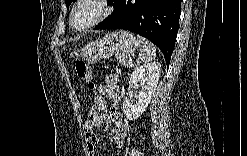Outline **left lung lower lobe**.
I'll use <instances>...</instances> for the list:
<instances>
[{"instance_id":"1","label":"left lung lower lobe","mask_w":247,"mask_h":156,"mask_svg":"<svg viewBox=\"0 0 247 156\" xmlns=\"http://www.w3.org/2000/svg\"><path fill=\"white\" fill-rule=\"evenodd\" d=\"M181 14V0H118L112 14L95 29H125L160 48L169 65Z\"/></svg>"}]
</instances>
